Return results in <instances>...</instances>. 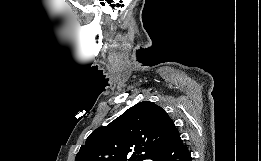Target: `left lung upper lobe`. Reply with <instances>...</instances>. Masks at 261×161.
Segmentation results:
<instances>
[{
  "label": "left lung upper lobe",
  "instance_id": "5c2ea615",
  "mask_svg": "<svg viewBox=\"0 0 261 161\" xmlns=\"http://www.w3.org/2000/svg\"><path fill=\"white\" fill-rule=\"evenodd\" d=\"M176 130L160 106L143 101L109 125L94 130L81 146L75 161H127V157H130L128 161L149 159Z\"/></svg>",
  "mask_w": 261,
  "mask_h": 161
}]
</instances>
